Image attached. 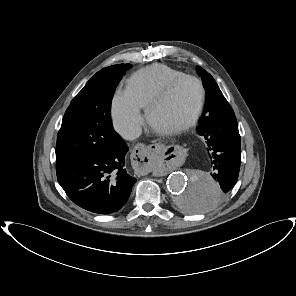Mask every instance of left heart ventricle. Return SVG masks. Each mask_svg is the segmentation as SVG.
I'll return each mask as SVG.
<instances>
[{"label":"left heart ventricle","instance_id":"1","mask_svg":"<svg viewBox=\"0 0 296 296\" xmlns=\"http://www.w3.org/2000/svg\"><path fill=\"white\" fill-rule=\"evenodd\" d=\"M199 97L197 84L192 80L178 83L168 98L153 113L159 128H169L186 120L193 112Z\"/></svg>","mask_w":296,"mask_h":296}]
</instances>
